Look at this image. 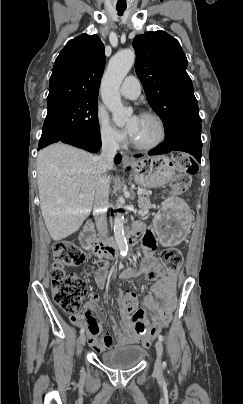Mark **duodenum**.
I'll return each mask as SVG.
<instances>
[{"instance_id": "duodenum-1", "label": "duodenum", "mask_w": 243, "mask_h": 404, "mask_svg": "<svg viewBox=\"0 0 243 404\" xmlns=\"http://www.w3.org/2000/svg\"><path fill=\"white\" fill-rule=\"evenodd\" d=\"M141 232L138 229L131 230L127 235L130 246H134L140 239ZM81 244L85 249L102 259H116L119 255L114 241H103L96 238L92 227L87 225L80 235Z\"/></svg>"}]
</instances>
